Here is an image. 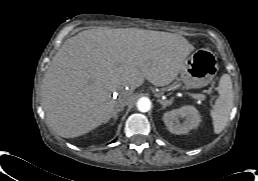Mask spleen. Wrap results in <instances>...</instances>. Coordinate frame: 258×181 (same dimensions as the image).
Masks as SVG:
<instances>
[{
	"mask_svg": "<svg viewBox=\"0 0 258 181\" xmlns=\"http://www.w3.org/2000/svg\"><path fill=\"white\" fill-rule=\"evenodd\" d=\"M217 89L219 96L210 112L215 134L223 131L233 108L234 94L230 75L224 74L221 76Z\"/></svg>",
	"mask_w": 258,
	"mask_h": 181,
	"instance_id": "obj_1",
	"label": "spleen"
}]
</instances>
